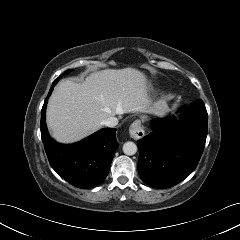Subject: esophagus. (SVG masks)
Here are the masks:
<instances>
[{
    "instance_id": "esophagus-1",
    "label": "esophagus",
    "mask_w": 240,
    "mask_h": 240,
    "mask_svg": "<svg viewBox=\"0 0 240 240\" xmlns=\"http://www.w3.org/2000/svg\"><path fill=\"white\" fill-rule=\"evenodd\" d=\"M129 134L135 140L141 139L144 136L145 131L143 129V126H142L140 120H135L130 125V127H129Z\"/></svg>"
}]
</instances>
